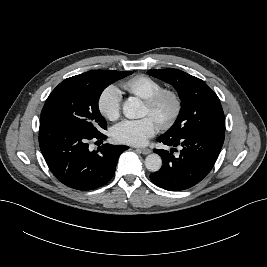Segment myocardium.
I'll return each instance as SVG.
<instances>
[{"label": "myocardium", "mask_w": 267, "mask_h": 267, "mask_svg": "<svg viewBox=\"0 0 267 267\" xmlns=\"http://www.w3.org/2000/svg\"><path fill=\"white\" fill-rule=\"evenodd\" d=\"M169 99L172 103V110L170 114L158 123L162 130H167L171 128L178 120L182 111V100L179 93L170 88H162L153 94L148 99L144 100L145 105L150 111L155 112L159 109L162 103Z\"/></svg>", "instance_id": "myocardium-1"}]
</instances>
